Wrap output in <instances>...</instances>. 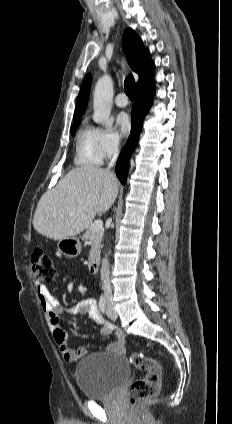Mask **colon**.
I'll use <instances>...</instances> for the list:
<instances>
[{
    "label": "colon",
    "instance_id": "5ec220e1",
    "mask_svg": "<svg viewBox=\"0 0 232 424\" xmlns=\"http://www.w3.org/2000/svg\"><path fill=\"white\" fill-rule=\"evenodd\" d=\"M32 270L38 281L52 282L57 278V270L49 255L41 250H35L31 256ZM131 362L139 370L145 372V377L135 380L129 387L128 400L131 405L138 401L154 397L160 389L162 373L157 360L141 353H132Z\"/></svg>",
    "mask_w": 232,
    "mask_h": 424
}]
</instances>
